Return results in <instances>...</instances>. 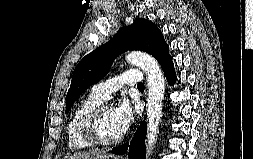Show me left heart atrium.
<instances>
[{
	"label": "left heart atrium",
	"instance_id": "39dd6f15",
	"mask_svg": "<svg viewBox=\"0 0 253 159\" xmlns=\"http://www.w3.org/2000/svg\"><path fill=\"white\" fill-rule=\"evenodd\" d=\"M114 112L122 133H125L135 120V109L128 100L124 99L114 108Z\"/></svg>",
	"mask_w": 253,
	"mask_h": 159
}]
</instances>
